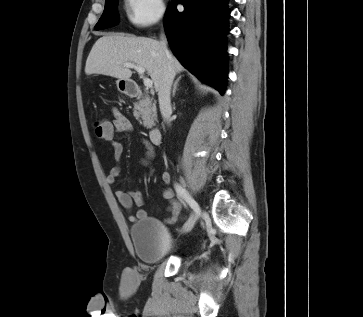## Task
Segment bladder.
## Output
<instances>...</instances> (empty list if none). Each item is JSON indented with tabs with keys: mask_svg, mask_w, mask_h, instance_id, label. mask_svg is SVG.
<instances>
[{
	"mask_svg": "<svg viewBox=\"0 0 363 317\" xmlns=\"http://www.w3.org/2000/svg\"><path fill=\"white\" fill-rule=\"evenodd\" d=\"M130 238L137 256L145 264L164 260L173 250L167 228L151 217L136 221L130 228Z\"/></svg>",
	"mask_w": 363,
	"mask_h": 317,
	"instance_id": "31cf9c89",
	"label": "bladder"
}]
</instances>
